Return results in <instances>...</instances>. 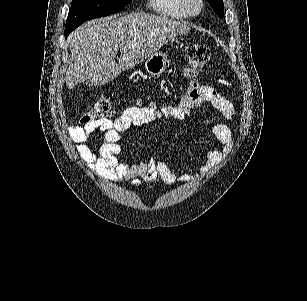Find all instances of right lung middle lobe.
<instances>
[{
	"mask_svg": "<svg viewBox=\"0 0 307 301\" xmlns=\"http://www.w3.org/2000/svg\"><path fill=\"white\" fill-rule=\"evenodd\" d=\"M132 0H72L64 34L67 36L87 20L115 14Z\"/></svg>",
	"mask_w": 307,
	"mask_h": 301,
	"instance_id": "obj_1",
	"label": "right lung middle lobe"
}]
</instances>
